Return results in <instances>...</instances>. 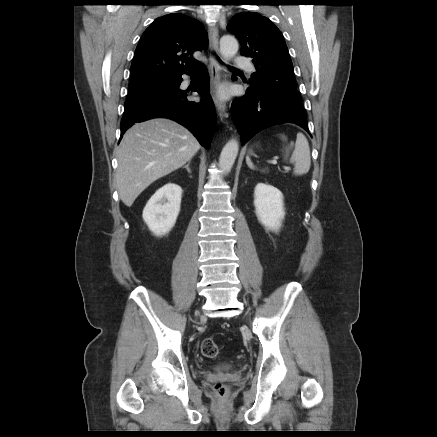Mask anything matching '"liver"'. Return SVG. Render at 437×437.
<instances>
[{"instance_id":"6515ba94","label":"liver","mask_w":437,"mask_h":437,"mask_svg":"<svg viewBox=\"0 0 437 437\" xmlns=\"http://www.w3.org/2000/svg\"><path fill=\"white\" fill-rule=\"evenodd\" d=\"M199 149L198 140L175 121L157 118L135 124L117 150L120 199L131 207L150 184L182 167Z\"/></svg>"}]
</instances>
